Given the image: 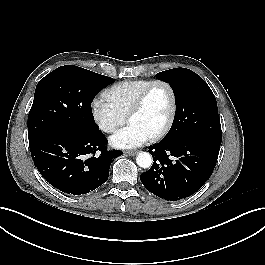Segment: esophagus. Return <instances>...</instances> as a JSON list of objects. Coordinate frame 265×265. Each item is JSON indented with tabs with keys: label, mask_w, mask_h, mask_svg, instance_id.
<instances>
[{
	"label": "esophagus",
	"mask_w": 265,
	"mask_h": 265,
	"mask_svg": "<svg viewBox=\"0 0 265 265\" xmlns=\"http://www.w3.org/2000/svg\"><path fill=\"white\" fill-rule=\"evenodd\" d=\"M137 154V151H126L124 152V155H128V156H134Z\"/></svg>",
	"instance_id": "34e87169"
}]
</instances>
